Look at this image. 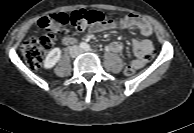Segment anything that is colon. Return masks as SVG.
<instances>
[{
	"label": "colon",
	"instance_id": "5ec220e1",
	"mask_svg": "<svg viewBox=\"0 0 194 133\" xmlns=\"http://www.w3.org/2000/svg\"><path fill=\"white\" fill-rule=\"evenodd\" d=\"M110 22L108 15L94 9H79L70 14L59 13L43 17L39 21L40 27L46 32L41 36H32L28 38L21 46V54L26 63L32 68H39L42 65L44 55L52 47L55 34L61 28L70 23L77 30L82 31L87 27L101 25ZM138 69L132 65L125 67L126 76L133 75Z\"/></svg>",
	"mask_w": 194,
	"mask_h": 133
}]
</instances>
